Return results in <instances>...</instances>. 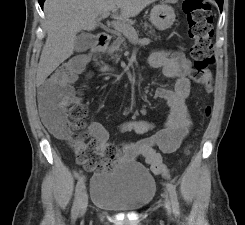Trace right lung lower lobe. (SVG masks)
Instances as JSON below:
<instances>
[{
  "instance_id": "right-lung-lower-lobe-1",
  "label": "right lung lower lobe",
  "mask_w": 245,
  "mask_h": 225,
  "mask_svg": "<svg viewBox=\"0 0 245 225\" xmlns=\"http://www.w3.org/2000/svg\"><path fill=\"white\" fill-rule=\"evenodd\" d=\"M45 0H39V4L41 6V8L43 9V3H44Z\"/></svg>"
}]
</instances>
